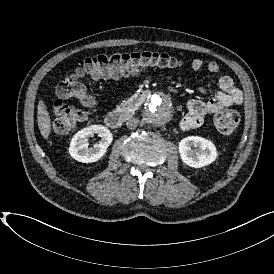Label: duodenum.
I'll use <instances>...</instances> for the list:
<instances>
[{
  "mask_svg": "<svg viewBox=\"0 0 274 274\" xmlns=\"http://www.w3.org/2000/svg\"><path fill=\"white\" fill-rule=\"evenodd\" d=\"M146 100V95H138L123 102L119 107L108 112L105 123L111 128L120 127L125 120L132 116L134 110Z\"/></svg>",
  "mask_w": 274,
  "mask_h": 274,
  "instance_id": "410a0bca",
  "label": "duodenum"
}]
</instances>
